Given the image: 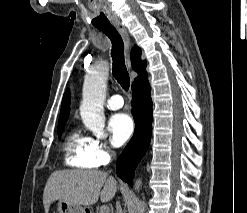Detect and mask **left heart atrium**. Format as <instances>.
Here are the masks:
<instances>
[{
  "label": "left heart atrium",
  "instance_id": "obj_1",
  "mask_svg": "<svg viewBox=\"0 0 247 213\" xmlns=\"http://www.w3.org/2000/svg\"><path fill=\"white\" fill-rule=\"evenodd\" d=\"M108 128L113 145L121 146L131 137L134 123L128 114L117 113L110 118Z\"/></svg>",
  "mask_w": 247,
  "mask_h": 213
}]
</instances>
